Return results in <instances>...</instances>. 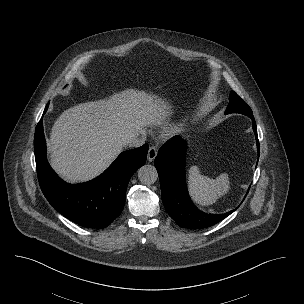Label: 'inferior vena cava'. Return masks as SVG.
<instances>
[{"label": "inferior vena cava", "mask_w": 304, "mask_h": 304, "mask_svg": "<svg viewBox=\"0 0 304 304\" xmlns=\"http://www.w3.org/2000/svg\"><path fill=\"white\" fill-rule=\"evenodd\" d=\"M144 132L142 131H133L126 139L125 144L129 147H140L144 143ZM140 135H142L140 137Z\"/></svg>", "instance_id": "1"}]
</instances>
